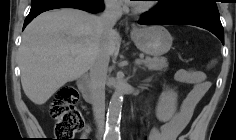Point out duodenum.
Here are the masks:
<instances>
[{
  "mask_svg": "<svg viewBox=\"0 0 236 140\" xmlns=\"http://www.w3.org/2000/svg\"><path fill=\"white\" fill-rule=\"evenodd\" d=\"M78 87L82 94L83 99L86 102H92L94 99L93 90L91 88L90 79L84 75L78 79Z\"/></svg>",
  "mask_w": 236,
  "mask_h": 140,
  "instance_id": "1",
  "label": "duodenum"
}]
</instances>
